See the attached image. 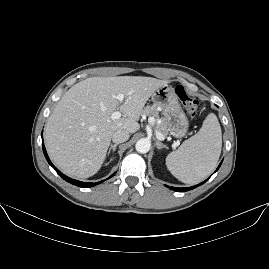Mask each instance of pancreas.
<instances>
[{
    "instance_id": "obj_1",
    "label": "pancreas",
    "mask_w": 269,
    "mask_h": 269,
    "mask_svg": "<svg viewBox=\"0 0 269 269\" xmlns=\"http://www.w3.org/2000/svg\"><path fill=\"white\" fill-rule=\"evenodd\" d=\"M143 113H145L147 116H153V117H155L156 122L159 119V116H157L158 115V110H157L156 105H148L144 109ZM156 128L163 134L164 137L167 136L168 130H167V126H166V123H165V119L164 118L161 119V123L160 124H157L156 123Z\"/></svg>"
}]
</instances>
